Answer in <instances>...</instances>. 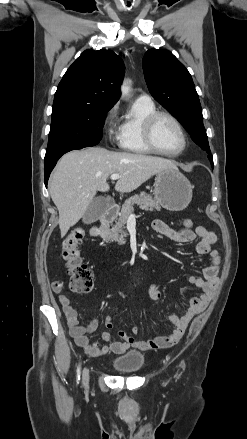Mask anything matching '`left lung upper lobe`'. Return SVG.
Here are the masks:
<instances>
[{
    "instance_id": "left-lung-upper-lobe-1",
    "label": "left lung upper lobe",
    "mask_w": 247,
    "mask_h": 439,
    "mask_svg": "<svg viewBox=\"0 0 247 439\" xmlns=\"http://www.w3.org/2000/svg\"><path fill=\"white\" fill-rule=\"evenodd\" d=\"M143 71L151 95L177 118L192 140L209 154L213 165L202 108L188 70L171 52L150 49L143 58Z\"/></svg>"
}]
</instances>
